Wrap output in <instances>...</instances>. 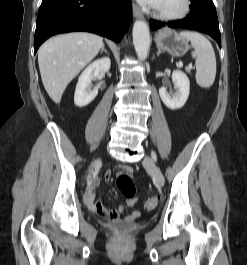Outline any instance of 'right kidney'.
Wrapping results in <instances>:
<instances>
[{"mask_svg": "<svg viewBox=\"0 0 247 265\" xmlns=\"http://www.w3.org/2000/svg\"><path fill=\"white\" fill-rule=\"evenodd\" d=\"M111 61L108 57L97 59L81 73L74 94V103L78 107H84L91 103L98 94V87H92V79L98 77L101 72L110 70Z\"/></svg>", "mask_w": 247, "mask_h": 265, "instance_id": "1", "label": "right kidney"}]
</instances>
